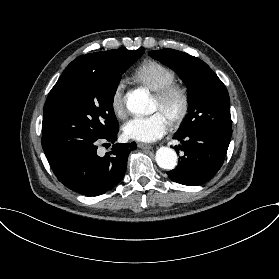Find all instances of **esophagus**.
I'll return each instance as SVG.
<instances>
[{"label": "esophagus", "instance_id": "obj_1", "mask_svg": "<svg viewBox=\"0 0 279 279\" xmlns=\"http://www.w3.org/2000/svg\"><path fill=\"white\" fill-rule=\"evenodd\" d=\"M137 146L141 149H144V150H150L152 148V146L148 143H144V142H139L137 144Z\"/></svg>", "mask_w": 279, "mask_h": 279}]
</instances>
